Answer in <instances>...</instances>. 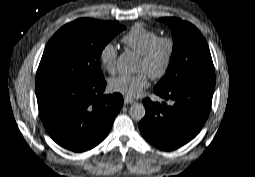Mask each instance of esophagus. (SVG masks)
Returning a JSON list of instances; mask_svg holds the SVG:
<instances>
[{"instance_id": "obj_1", "label": "esophagus", "mask_w": 255, "mask_h": 177, "mask_svg": "<svg viewBox=\"0 0 255 177\" xmlns=\"http://www.w3.org/2000/svg\"><path fill=\"white\" fill-rule=\"evenodd\" d=\"M135 101L132 100V99H129V98H124V104L127 105V104H133Z\"/></svg>"}]
</instances>
